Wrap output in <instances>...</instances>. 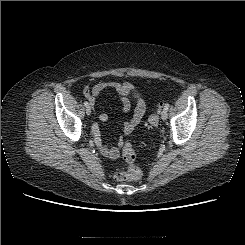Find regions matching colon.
<instances>
[{"instance_id":"5ec220e1","label":"colon","mask_w":245,"mask_h":245,"mask_svg":"<svg viewBox=\"0 0 245 245\" xmlns=\"http://www.w3.org/2000/svg\"><path fill=\"white\" fill-rule=\"evenodd\" d=\"M163 106L161 102L158 106L156 112L151 113L146 121L143 123V127L150 129L158 125L159 122V112ZM123 159L124 163L128 166L126 171L118 172L115 174V178L117 180L124 181H136L139 180L142 176V171L139 167H137L134 162L136 159L134 149L130 143H125L123 146Z\"/></svg>"}]
</instances>
